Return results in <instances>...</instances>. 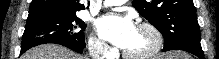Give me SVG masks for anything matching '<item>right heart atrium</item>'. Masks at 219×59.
I'll return each mask as SVG.
<instances>
[{"mask_svg":"<svg viewBox=\"0 0 219 59\" xmlns=\"http://www.w3.org/2000/svg\"><path fill=\"white\" fill-rule=\"evenodd\" d=\"M88 46L93 57L106 58L110 54L109 46L100 37L95 35L89 38Z\"/></svg>","mask_w":219,"mask_h":59,"instance_id":"right-heart-atrium-1","label":"right heart atrium"}]
</instances>
